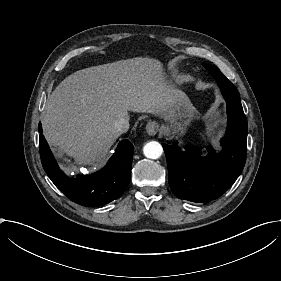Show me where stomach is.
<instances>
[{"mask_svg":"<svg viewBox=\"0 0 281 281\" xmlns=\"http://www.w3.org/2000/svg\"><path fill=\"white\" fill-rule=\"evenodd\" d=\"M195 119V107L185 94L176 100L164 114V124L160 125L164 136L184 137ZM179 134V135H178Z\"/></svg>","mask_w":281,"mask_h":281,"instance_id":"stomach-1","label":"stomach"}]
</instances>
